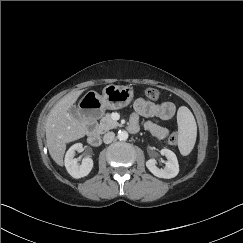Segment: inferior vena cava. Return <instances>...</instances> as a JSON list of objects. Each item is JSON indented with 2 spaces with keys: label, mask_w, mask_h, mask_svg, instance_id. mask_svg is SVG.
Instances as JSON below:
<instances>
[{
  "label": "inferior vena cava",
  "mask_w": 243,
  "mask_h": 243,
  "mask_svg": "<svg viewBox=\"0 0 243 243\" xmlns=\"http://www.w3.org/2000/svg\"><path fill=\"white\" fill-rule=\"evenodd\" d=\"M114 137H115L114 132H107L103 137V141L104 143L109 144L114 140Z\"/></svg>",
  "instance_id": "inferior-vena-cava-1"
}]
</instances>
